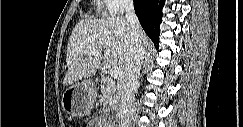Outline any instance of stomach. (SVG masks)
<instances>
[{
    "label": "stomach",
    "mask_w": 243,
    "mask_h": 127,
    "mask_svg": "<svg viewBox=\"0 0 243 127\" xmlns=\"http://www.w3.org/2000/svg\"><path fill=\"white\" fill-rule=\"evenodd\" d=\"M96 97V87L92 82H77L63 92L62 108L70 116L84 117L91 112Z\"/></svg>",
    "instance_id": "0dacf381"
}]
</instances>
